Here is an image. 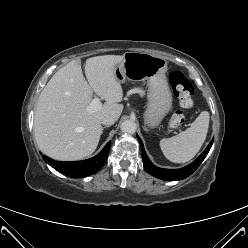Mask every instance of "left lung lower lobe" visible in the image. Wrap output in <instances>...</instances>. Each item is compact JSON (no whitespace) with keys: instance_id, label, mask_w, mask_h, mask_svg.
Masks as SVG:
<instances>
[{"instance_id":"obj_1","label":"left lung lower lobe","mask_w":248,"mask_h":248,"mask_svg":"<svg viewBox=\"0 0 248 248\" xmlns=\"http://www.w3.org/2000/svg\"><path fill=\"white\" fill-rule=\"evenodd\" d=\"M137 138L141 145V153L144 168L151 175L167 181L181 180L191 175L198 168L201 162L205 159L213 143L212 139L205 151L191 164L180 169H162L152 164V162L146 155L142 140L139 138V136H137Z\"/></svg>"}]
</instances>
